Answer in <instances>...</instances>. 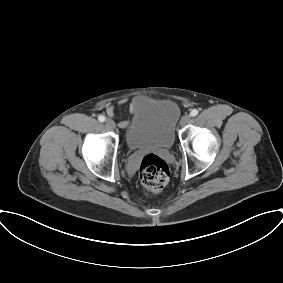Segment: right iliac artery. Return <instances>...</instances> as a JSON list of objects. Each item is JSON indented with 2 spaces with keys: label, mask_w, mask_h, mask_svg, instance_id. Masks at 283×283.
Here are the masks:
<instances>
[{
  "label": "right iliac artery",
  "mask_w": 283,
  "mask_h": 283,
  "mask_svg": "<svg viewBox=\"0 0 283 283\" xmlns=\"http://www.w3.org/2000/svg\"><path fill=\"white\" fill-rule=\"evenodd\" d=\"M98 120H99L100 122H104V121H105V117H104L103 115H100V116L98 117Z\"/></svg>",
  "instance_id": "right-iliac-artery-1"
}]
</instances>
